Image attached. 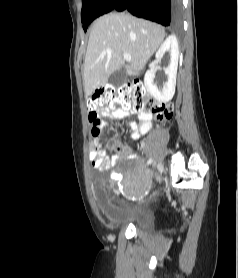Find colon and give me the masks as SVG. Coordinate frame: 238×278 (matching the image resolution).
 Wrapping results in <instances>:
<instances>
[{
  "label": "colon",
  "instance_id": "1",
  "mask_svg": "<svg viewBox=\"0 0 238 278\" xmlns=\"http://www.w3.org/2000/svg\"><path fill=\"white\" fill-rule=\"evenodd\" d=\"M117 106L135 113L152 114L159 121L169 120L173 114L170 105L156 103L147 95L141 81L135 80L119 88L106 86L97 90L87 101L88 117L92 125L93 137H98L100 133L98 128L101 123L100 114L104 111H113ZM110 150H114V148L110 147Z\"/></svg>",
  "mask_w": 238,
  "mask_h": 278
}]
</instances>
